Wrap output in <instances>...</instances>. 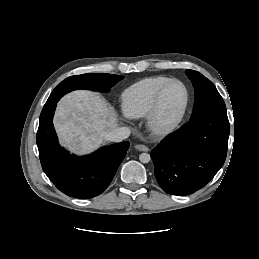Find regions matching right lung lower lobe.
Masks as SVG:
<instances>
[{
	"mask_svg": "<svg viewBox=\"0 0 259 259\" xmlns=\"http://www.w3.org/2000/svg\"><path fill=\"white\" fill-rule=\"evenodd\" d=\"M58 101L44 105L37 132L42 168L64 194L92 198L101 194L112 181L129 148V142L104 146L87 156H76L63 149L53 126Z\"/></svg>",
	"mask_w": 259,
	"mask_h": 259,
	"instance_id": "98d812e1",
	"label": "right lung lower lobe"
}]
</instances>
